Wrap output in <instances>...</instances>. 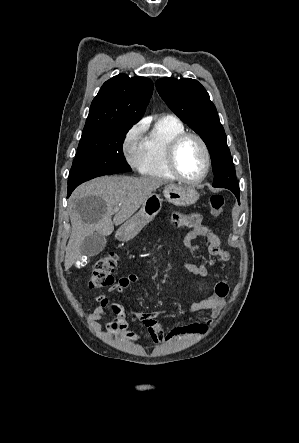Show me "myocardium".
I'll return each instance as SVG.
<instances>
[{"label": "myocardium", "mask_w": 299, "mask_h": 443, "mask_svg": "<svg viewBox=\"0 0 299 443\" xmlns=\"http://www.w3.org/2000/svg\"><path fill=\"white\" fill-rule=\"evenodd\" d=\"M189 138H194L199 142V144L202 147V150L204 153V158H205L204 171L199 177H196V178H188V177L184 176L179 169L178 161H177V154H178V150H179L180 146L182 145V143L185 140H187ZM166 159H167L168 168H169L170 172L173 174V176L175 178H177L178 180H180L184 183H187V184H197V183L204 181L206 179V177L208 176L210 168H211V155H210L209 148H208L205 140L199 134L194 133V132L185 131V132H182L179 135H177L168 146Z\"/></svg>", "instance_id": "myocardium-1"}]
</instances>
